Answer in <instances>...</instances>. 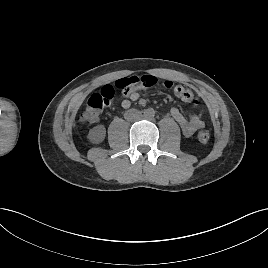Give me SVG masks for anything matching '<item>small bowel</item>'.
<instances>
[{"label":"small bowel","mask_w":268,"mask_h":268,"mask_svg":"<svg viewBox=\"0 0 268 268\" xmlns=\"http://www.w3.org/2000/svg\"><path fill=\"white\" fill-rule=\"evenodd\" d=\"M140 97L141 95L138 90H134L126 94V98L122 101L121 105L123 108H129L132 102L139 100ZM171 116L179 124L183 135L186 137L192 136L197 130L205 126L202 113L185 117L177 107H173L171 109Z\"/></svg>","instance_id":"c3829d8e"}]
</instances>
